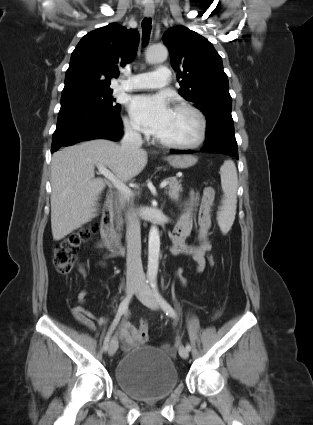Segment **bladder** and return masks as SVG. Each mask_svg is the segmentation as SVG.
<instances>
[{
  "label": "bladder",
  "instance_id": "31cf9c89",
  "mask_svg": "<svg viewBox=\"0 0 313 425\" xmlns=\"http://www.w3.org/2000/svg\"><path fill=\"white\" fill-rule=\"evenodd\" d=\"M118 386L134 399L151 401L169 395L179 377L165 348L142 346L126 353L114 371Z\"/></svg>",
  "mask_w": 313,
  "mask_h": 425
}]
</instances>
